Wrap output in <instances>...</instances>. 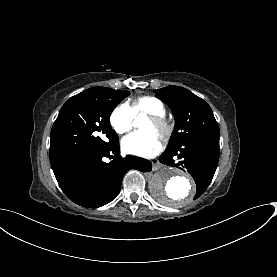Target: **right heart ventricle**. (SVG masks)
I'll list each match as a JSON object with an SVG mask.
<instances>
[{
    "label": "right heart ventricle",
    "instance_id": "e07e8e85",
    "mask_svg": "<svg viewBox=\"0 0 277 277\" xmlns=\"http://www.w3.org/2000/svg\"><path fill=\"white\" fill-rule=\"evenodd\" d=\"M133 116V118L137 117L140 113H153L164 115L165 107L163 103L151 96H143L139 97L133 101H131L127 106Z\"/></svg>",
    "mask_w": 277,
    "mask_h": 277
}]
</instances>
